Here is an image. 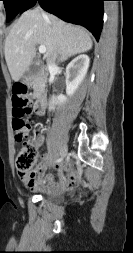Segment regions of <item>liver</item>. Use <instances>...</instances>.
Returning <instances> with one entry per match:
<instances>
[{
	"label": "liver",
	"mask_w": 133,
	"mask_h": 253,
	"mask_svg": "<svg viewBox=\"0 0 133 253\" xmlns=\"http://www.w3.org/2000/svg\"><path fill=\"white\" fill-rule=\"evenodd\" d=\"M36 45L46 47L48 63L63 62L92 48L88 31L54 15L45 18L38 9L28 10L12 26L5 40V60L14 81L28 70L36 55Z\"/></svg>",
	"instance_id": "liver-1"
}]
</instances>
